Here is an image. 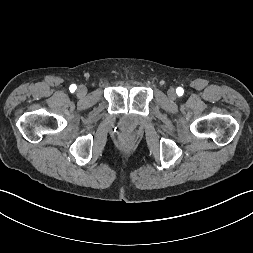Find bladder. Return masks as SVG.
I'll return each instance as SVG.
<instances>
[{
  "label": "bladder",
  "mask_w": 253,
  "mask_h": 253,
  "mask_svg": "<svg viewBox=\"0 0 253 253\" xmlns=\"http://www.w3.org/2000/svg\"><path fill=\"white\" fill-rule=\"evenodd\" d=\"M123 122L126 126H134L136 124V117L133 115H126Z\"/></svg>",
  "instance_id": "bladder-1"
}]
</instances>
